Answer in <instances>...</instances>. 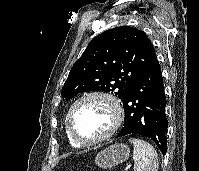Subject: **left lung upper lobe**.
<instances>
[{
    "label": "left lung upper lobe",
    "instance_id": "left-lung-upper-lobe-1",
    "mask_svg": "<svg viewBox=\"0 0 199 171\" xmlns=\"http://www.w3.org/2000/svg\"><path fill=\"white\" fill-rule=\"evenodd\" d=\"M147 35L129 26L109 29L95 37L70 70L62 97L106 91L123 100L127 91L155 58Z\"/></svg>",
    "mask_w": 199,
    "mask_h": 171
}]
</instances>
